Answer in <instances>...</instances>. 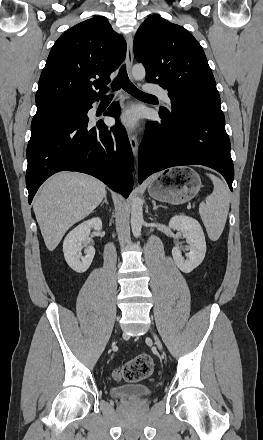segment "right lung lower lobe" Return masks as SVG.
<instances>
[{
  "mask_svg": "<svg viewBox=\"0 0 263 440\" xmlns=\"http://www.w3.org/2000/svg\"><path fill=\"white\" fill-rule=\"evenodd\" d=\"M101 97L83 102L79 120L60 123L30 138L27 146L26 186L29 204L40 185L62 170L92 175L112 190L128 197L133 187V155L125 129L120 123L108 128L103 122L88 124L87 112ZM117 117L119 107L112 104L105 115Z\"/></svg>",
  "mask_w": 263,
  "mask_h": 440,
  "instance_id": "obj_1",
  "label": "right lung lower lobe"
}]
</instances>
